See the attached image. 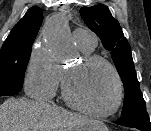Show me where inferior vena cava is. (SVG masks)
Returning a JSON list of instances; mask_svg holds the SVG:
<instances>
[{"instance_id": "1", "label": "inferior vena cava", "mask_w": 151, "mask_h": 131, "mask_svg": "<svg viewBox=\"0 0 151 131\" xmlns=\"http://www.w3.org/2000/svg\"><path fill=\"white\" fill-rule=\"evenodd\" d=\"M49 103H51L52 104V106H56L52 101H48Z\"/></svg>"}]
</instances>
